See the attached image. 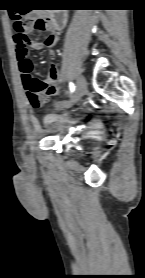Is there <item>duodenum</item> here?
Segmentation results:
<instances>
[{"label": "duodenum", "instance_id": "1", "mask_svg": "<svg viewBox=\"0 0 145 278\" xmlns=\"http://www.w3.org/2000/svg\"><path fill=\"white\" fill-rule=\"evenodd\" d=\"M68 23L66 11H55L49 16V27L54 30H62Z\"/></svg>", "mask_w": 145, "mask_h": 278}]
</instances>
